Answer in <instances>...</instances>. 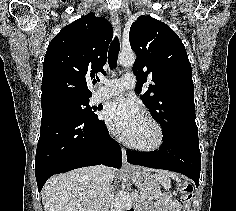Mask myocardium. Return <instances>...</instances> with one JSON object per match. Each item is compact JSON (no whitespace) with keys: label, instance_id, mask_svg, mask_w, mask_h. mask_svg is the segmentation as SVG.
<instances>
[{"label":"myocardium","instance_id":"1","mask_svg":"<svg viewBox=\"0 0 236 211\" xmlns=\"http://www.w3.org/2000/svg\"><path fill=\"white\" fill-rule=\"evenodd\" d=\"M147 122H149L153 128L155 129L156 132V138L155 141L152 144L149 145H142V144H137L130 139H128L126 136L124 138L125 144L135 150L142 151V152H153L159 150L163 143H164V131L161 126V124L151 115L149 114H144L142 116Z\"/></svg>","mask_w":236,"mask_h":211}]
</instances>
